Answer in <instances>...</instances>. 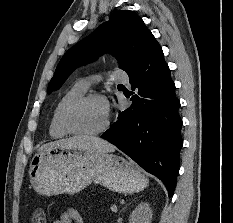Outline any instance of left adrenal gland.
<instances>
[{
	"label": "left adrenal gland",
	"mask_w": 233,
	"mask_h": 223,
	"mask_svg": "<svg viewBox=\"0 0 233 223\" xmlns=\"http://www.w3.org/2000/svg\"><path fill=\"white\" fill-rule=\"evenodd\" d=\"M127 205H130V203H127ZM127 205H126V207H127Z\"/></svg>",
	"instance_id": "1"
}]
</instances>
